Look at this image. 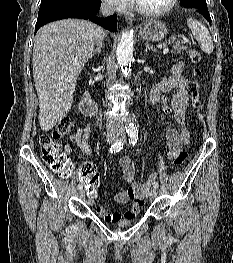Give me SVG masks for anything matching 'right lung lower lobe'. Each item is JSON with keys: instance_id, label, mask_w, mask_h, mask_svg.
Masks as SVG:
<instances>
[{"instance_id": "right-lung-lower-lobe-1", "label": "right lung lower lobe", "mask_w": 233, "mask_h": 263, "mask_svg": "<svg viewBox=\"0 0 233 263\" xmlns=\"http://www.w3.org/2000/svg\"><path fill=\"white\" fill-rule=\"evenodd\" d=\"M101 0H82L77 3L76 8L73 12L65 15H59L52 17L50 19L44 20L42 22H37L35 25V32L37 30L52 21L59 20L62 18H83V19H89L93 21L94 23H97L98 25H101L105 29L116 32L117 31V16L112 15L107 18H99L96 16L97 12L100 9Z\"/></svg>"}]
</instances>
